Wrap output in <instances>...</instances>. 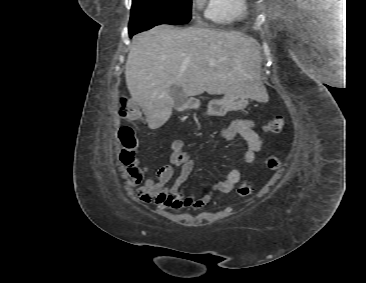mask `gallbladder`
Wrapping results in <instances>:
<instances>
[{"instance_id":"obj_1","label":"gallbladder","mask_w":366,"mask_h":283,"mask_svg":"<svg viewBox=\"0 0 366 283\" xmlns=\"http://www.w3.org/2000/svg\"><path fill=\"white\" fill-rule=\"evenodd\" d=\"M170 95L174 99V102H175L174 108L175 109H178L183 106V104L185 102V96L181 92L180 88H178L177 86H172L170 88Z\"/></svg>"}]
</instances>
